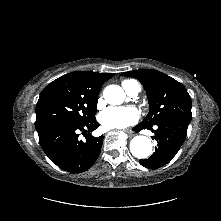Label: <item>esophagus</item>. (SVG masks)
I'll return each mask as SVG.
<instances>
[{
  "instance_id": "obj_1",
  "label": "esophagus",
  "mask_w": 221,
  "mask_h": 221,
  "mask_svg": "<svg viewBox=\"0 0 221 221\" xmlns=\"http://www.w3.org/2000/svg\"><path fill=\"white\" fill-rule=\"evenodd\" d=\"M127 134L129 135V137H133L134 134L131 131H127Z\"/></svg>"
}]
</instances>
